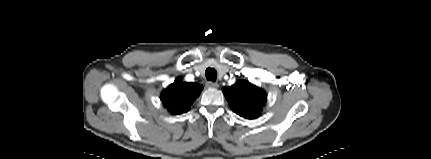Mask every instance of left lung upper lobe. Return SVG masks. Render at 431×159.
Instances as JSON below:
<instances>
[{
	"mask_svg": "<svg viewBox=\"0 0 431 159\" xmlns=\"http://www.w3.org/2000/svg\"><path fill=\"white\" fill-rule=\"evenodd\" d=\"M223 92L232 110L248 119L260 116L261 108L266 104L265 91L245 80L224 88Z\"/></svg>",
	"mask_w": 431,
	"mask_h": 159,
	"instance_id": "1",
	"label": "left lung upper lobe"
}]
</instances>
